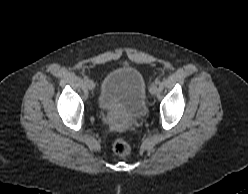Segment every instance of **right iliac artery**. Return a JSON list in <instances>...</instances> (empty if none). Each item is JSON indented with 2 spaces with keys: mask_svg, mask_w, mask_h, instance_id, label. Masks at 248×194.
<instances>
[{
  "mask_svg": "<svg viewBox=\"0 0 248 194\" xmlns=\"http://www.w3.org/2000/svg\"><path fill=\"white\" fill-rule=\"evenodd\" d=\"M83 80H84V82H87V81H88V77L85 76V77L83 78Z\"/></svg>",
  "mask_w": 248,
  "mask_h": 194,
  "instance_id": "obj_1",
  "label": "right iliac artery"
}]
</instances>
